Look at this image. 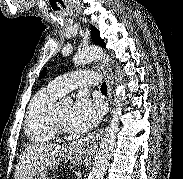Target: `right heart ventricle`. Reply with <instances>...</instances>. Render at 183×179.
Here are the masks:
<instances>
[{
  "mask_svg": "<svg viewBox=\"0 0 183 179\" xmlns=\"http://www.w3.org/2000/svg\"><path fill=\"white\" fill-rule=\"evenodd\" d=\"M49 86L40 89L32 98L25 120V134L34 142H47L54 138L52 123L55 102L60 97Z\"/></svg>",
  "mask_w": 183,
  "mask_h": 179,
  "instance_id": "right-heart-ventricle-1",
  "label": "right heart ventricle"
}]
</instances>
